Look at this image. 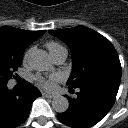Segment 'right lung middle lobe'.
Returning a JSON list of instances; mask_svg holds the SVG:
<instances>
[{"label":"right lung middle lobe","instance_id":"right-lung-middle-lobe-1","mask_svg":"<svg viewBox=\"0 0 128 128\" xmlns=\"http://www.w3.org/2000/svg\"><path fill=\"white\" fill-rule=\"evenodd\" d=\"M22 52L0 48V84L7 83L22 63Z\"/></svg>","mask_w":128,"mask_h":128}]
</instances>
